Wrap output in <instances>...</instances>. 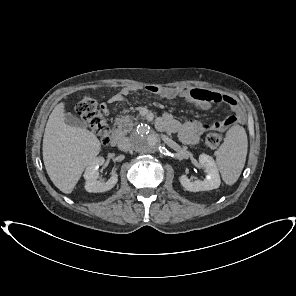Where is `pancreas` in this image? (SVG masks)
<instances>
[{
    "label": "pancreas",
    "mask_w": 296,
    "mask_h": 296,
    "mask_svg": "<svg viewBox=\"0 0 296 296\" xmlns=\"http://www.w3.org/2000/svg\"><path fill=\"white\" fill-rule=\"evenodd\" d=\"M134 120H136L134 116L119 115L118 118L115 119V126L117 127L118 132L121 135L129 133L135 124Z\"/></svg>",
    "instance_id": "cf45deb5"
}]
</instances>
